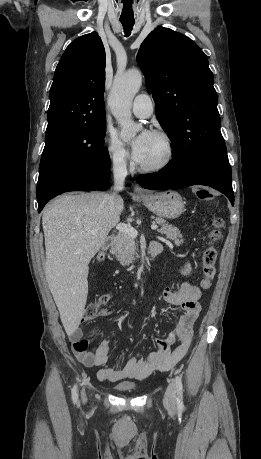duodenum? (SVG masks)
<instances>
[{
	"mask_svg": "<svg viewBox=\"0 0 261 459\" xmlns=\"http://www.w3.org/2000/svg\"><path fill=\"white\" fill-rule=\"evenodd\" d=\"M114 235H110L106 238L105 240V243L103 245V249L106 250L108 249L109 247L112 246L113 242H114ZM162 252V246L160 243L156 242V241H153L149 244V247H148V253L150 255V257L152 258H155L156 256H158L160 253Z\"/></svg>",
	"mask_w": 261,
	"mask_h": 459,
	"instance_id": "duodenum-1",
	"label": "duodenum"
}]
</instances>
